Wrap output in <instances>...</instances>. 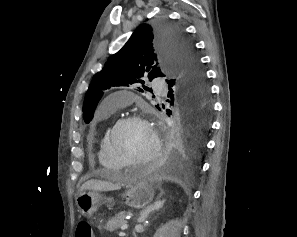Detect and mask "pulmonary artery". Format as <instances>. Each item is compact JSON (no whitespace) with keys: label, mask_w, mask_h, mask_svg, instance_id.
<instances>
[{"label":"pulmonary artery","mask_w":297,"mask_h":237,"mask_svg":"<svg viewBox=\"0 0 297 237\" xmlns=\"http://www.w3.org/2000/svg\"><path fill=\"white\" fill-rule=\"evenodd\" d=\"M153 87L157 91H164L167 89L166 83L163 81H155ZM129 99L125 97L124 92H118L110 95L103 103V108L115 110L120 107H124L128 104Z\"/></svg>","instance_id":"pulmonary-artery-1"}]
</instances>
